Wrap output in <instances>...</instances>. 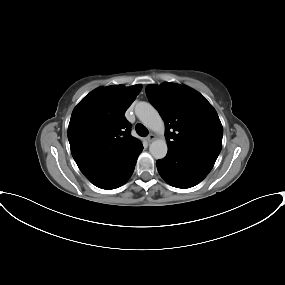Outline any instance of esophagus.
Segmentation results:
<instances>
[{
	"mask_svg": "<svg viewBox=\"0 0 285 285\" xmlns=\"http://www.w3.org/2000/svg\"><path fill=\"white\" fill-rule=\"evenodd\" d=\"M155 138H156L155 135L151 133L146 137V140L150 143V142L154 141Z\"/></svg>",
	"mask_w": 285,
	"mask_h": 285,
	"instance_id": "esophagus-1",
	"label": "esophagus"
}]
</instances>
